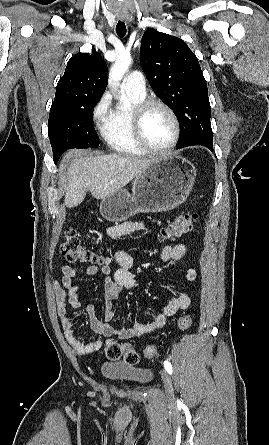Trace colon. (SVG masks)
Here are the masks:
<instances>
[{"label":"colon","instance_id":"1","mask_svg":"<svg viewBox=\"0 0 269 445\" xmlns=\"http://www.w3.org/2000/svg\"><path fill=\"white\" fill-rule=\"evenodd\" d=\"M197 214H183L166 224L160 230V238L165 241H173L185 233L190 232L197 221ZM61 253L70 263H90L93 265H105L107 260L88 249L81 241L77 231L73 227L66 229L61 243ZM178 328L181 331L188 330L192 325V318L183 315L178 319ZM105 354L110 360L123 358L129 365H136L139 356L135 350L116 340L108 339L105 342ZM144 354L151 359L157 356V348L153 345L145 348Z\"/></svg>","mask_w":269,"mask_h":445}]
</instances>
